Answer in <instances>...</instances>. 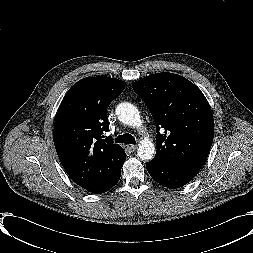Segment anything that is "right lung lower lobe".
<instances>
[{
	"instance_id": "right-lung-lower-lobe-1",
	"label": "right lung lower lobe",
	"mask_w": 253,
	"mask_h": 253,
	"mask_svg": "<svg viewBox=\"0 0 253 253\" xmlns=\"http://www.w3.org/2000/svg\"><path fill=\"white\" fill-rule=\"evenodd\" d=\"M120 176H121V171L110 181V183L103 190H101L97 194L104 193L108 191L109 189H111L119 181Z\"/></svg>"
}]
</instances>
